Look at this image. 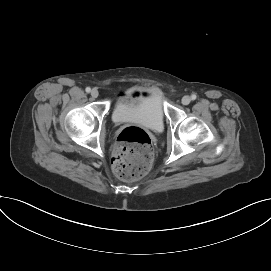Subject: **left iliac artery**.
<instances>
[{"label":"left iliac artery","mask_w":271,"mask_h":271,"mask_svg":"<svg viewBox=\"0 0 271 271\" xmlns=\"http://www.w3.org/2000/svg\"><path fill=\"white\" fill-rule=\"evenodd\" d=\"M196 98H197V96H196L195 94H192V95H191V99H192V100H195Z\"/></svg>","instance_id":"44dca946"}]
</instances>
